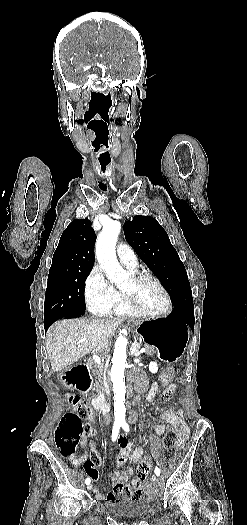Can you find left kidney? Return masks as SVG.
<instances>
[{"mask_svg": "<svg viewBox=\"0 0 247 525\" xmlns=\"http://www.w3.org/2000/svg\"><path fill=\"white\" fill-rule=\"evenodd\" d=\"M149 369H150L151 373H156V371H157L156 363H151Z\"/></svg>", "mask_w": 247, "mask_h": 525, "instance_id": "5707ae66", "label": "left kidney"}]
</instances>
